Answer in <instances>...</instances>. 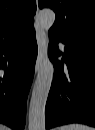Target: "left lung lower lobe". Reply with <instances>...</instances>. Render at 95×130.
I'll return each instance as SVG.
<instances>
[{"instance_id": "obj_1", "label": "left lung lower lobe", "mask_w": 95, "mask_h": 130, "mask_svg": "<svg viewBox=\"0 0 95 130\" xmlns=\"http://www.w3.org/2000/svg\"><path fill=\"white\" fill-rule=\"evenodd\" d=\"M53 83L45 108L46 128L69 123L95 126V48L49 35ZM64 45L63 59L57 43Z\"/></svg>"}]
</instances>
